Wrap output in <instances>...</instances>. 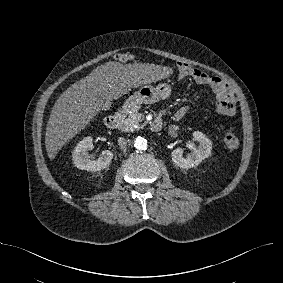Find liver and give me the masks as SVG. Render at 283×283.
Here are the masks:
<instances>
[{"instance_id":"liver-1","label":"liver","mask_w":283,"mask_h":283,"mask_svg":"<svg viewBox=\"0 0 283 283\" xmlns=\"http://www.w3.org/2000/svg\"><path fill=\"white\" fill-rule=\"evenodd\" d=\"M172 69L149 63L123 65L109 61L92 70L71 85L55 102L45 133V148L55 159L72 138L94 119L100 110H108L113 100L128 94L132 88L167 78Z\"/></svg>"}]
</instances>
